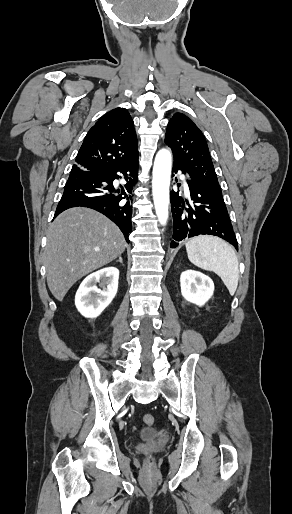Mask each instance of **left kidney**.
Segmentation results:
<instances>
[{"label": "left kidney", "instance_id": "left-kidney-1", "mask_svg": "<svg viewBox=\"0 0 292 514\" xmlns=\"http://www.w3.org/2000/svg\"><path fill=\"white\" fill-rule=\"evenodd\" d=\"M180 282L182 296L187 302L204 306L213 296L214 284L211 278L201 272L186 270V272H182Z\"/></svg>", "mask_w": 292, "mask_h": 514}]
</instances>
